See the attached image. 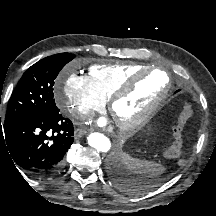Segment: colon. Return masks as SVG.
<instances>
[{"mask_svg":"<svg viewBox=\"0 0 216 216\" xmlns=\"http://www.w3.org/2000/svg\"><path fill=\"white\" fill-rule=\"evenodd\" d=\"M192 115V107L189 102H183L179 107L178 117L172 130V142L165 151L168 158H176L181 155L183 140L182 131Z\"/></svg>","mask_w":216,"mask_h":216,"instance_id":"colon-1","label":"colon"}]
</instances>
